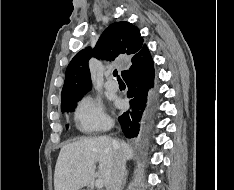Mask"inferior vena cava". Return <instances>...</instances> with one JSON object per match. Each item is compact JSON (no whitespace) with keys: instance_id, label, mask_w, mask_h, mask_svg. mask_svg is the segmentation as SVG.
<instances>
[{"instance_id":"1","label":"inferior vena cava","mask_w":234,"mask_h":190,"mask_svg":"<svg viewBox=\"0 0 234 190\" xmlns=\"http://www.w3.org/2000/svg\"><path fill=\"white\" fill-rule=\"evenodd\" d=\"M113 147L115 150L114 164L106 185V190H120L125 174L126 161L124 154L116 141H113Z\"/></svg>"}]
</instances>
